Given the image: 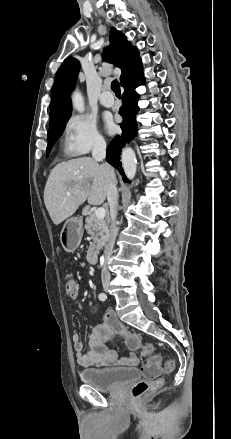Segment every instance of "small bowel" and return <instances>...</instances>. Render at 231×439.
<instances>
[{
	"label": "small bowel",
	"instance_id": "small-bowel-1",
	"mask_svg": "<svg viewBox=\"0 0 231 439\" xmlns=\"http://www.w3.org/2000/svg\"><path fill=\"white\" fill-rule=\"evenodd\" d=\"M127 332L125 326L120 322L113 312L104 315V322L90 326L89 351H84L81 336L77 330L72 334L73 348L77 362L81 367L91 366H136L138 358L134 353L128 357L119 358L118 354L108 348L107 343L116 335L124 336Z\"/></svg>",
	"mask_w": 231,
	"mask_h": 439
}]
</instances>
